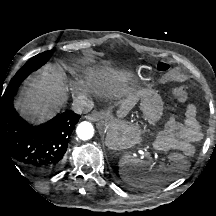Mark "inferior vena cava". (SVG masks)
Instances as JSON below:
<instances>
[{
  "label": "inferior vena cava",
  "mask_w": 216,
  "mask_h": 216,
  "mask_svg": "<svg viewBox=\"0 0 216 216\" xmlns=\"http://www.w3.org/2000/svg\"><path fill=\"white\" fill-rule=\"evenodd\" d=\"M94 104L85 95H79L73 100L72 110L77 114L88 113Z\"/></svg>",
  "instance_id": "obj_1"
}]
</instances>
